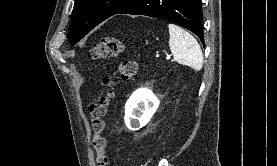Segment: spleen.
Listing matches in <instances>:
<instances>
[{
	"mask_svg": "<svg viewBox=\"0 0 277 166\" xmlns=\"http://www.w3.org/2000/svg\"><path fill=\"white\" fill-rule=\"evenodd\" d=\"M169 47L174 60L196 71L202 69L203 54L197 40L186 30L175 24H169Z\"/></svg>",
	"mask_w": 277,
	"mask_h": 166,
	"instance_id": "spleen-1",
	"label": "spleen"
}]
</instances>
